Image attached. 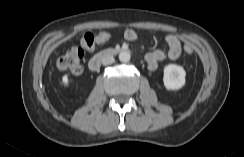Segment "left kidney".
<instances>
[{
    "mask_svg": "<svg viewBox=\"0 0 244 157\" xmlns=\"http://www.w3.org/2000/svg\"><path fill=\"white\" fill-rule=\"evenodd\" d=\"M186 71L180 65L169 64L164 68L163 83L167 90H179L185 84Z\"/></svg>",
    "mask_w": 244,
    "mask_h": 157,
    "instance_id": "obj_1",
    "label": "left kidney"
}]
</instances>
